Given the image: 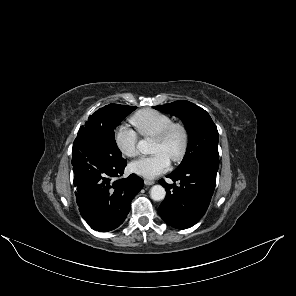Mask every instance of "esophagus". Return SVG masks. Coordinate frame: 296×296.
Instances as JSON below:
<instances>
[{
    "mask_svg": "<svg viewBox=\"0 0 296 296\" xmlns=\"http://www.w3.org/2000/svg\"><path fill=\"white\" fill-rule=\"evenodd\" d=\"M144 183H145L146 185H153V184L155 183V181H154V180H148V179H145V180H144Z\"/></svg>",
    "mask_w": 296,
    "mask_h": 296,
    "instance_id": "esophagus-1",
    "label": "esophagus"
}]
</instances>
